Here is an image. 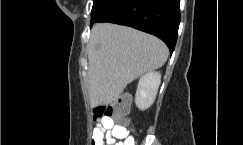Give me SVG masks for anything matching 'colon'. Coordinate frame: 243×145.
Returning a JSON list of instances; mask_svg holds the SVG:
<instances>
[{"label":"colon","mask_w":243,"mask_h":145,"mask_svg":"<svg viewBox=\"0 0 243 145\" xmlns=\"http://www.w3.org/2000/svg\"><path fill=\"white\" fill-rule=\"evenodd\" d=\"M130 98L127 94L121 95L116 102L109 106H98L94 110V117L98 119L111 118L118 121L122 127L128 124L127 114Z\"/></svg>","instance_id":"colon-1"}]
</instances>
